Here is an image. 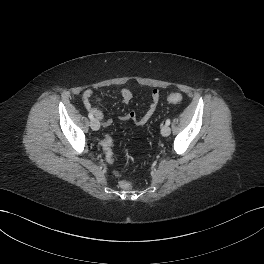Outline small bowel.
<instances>
[{"label": "small bowel", "instance_id": "obj_1", "mask_svg": "<svg viewBox=\"0 0 264 264\" xmlns=\"http://www.w3.org/2000/svg\"><path fill=\"white\" fill-rule=\"evenodd\" d=\"M121 98L123 102H129L133 98V92L130 89L124 88L120 91ZM94 96V92L92 90H86L83 93V100H84V105L86 109L94 115L98 120L101 121L102 125L104 127H108L112 124V119L107 118L104 119V114L103 111L100 108L95 107L91 99ZM161 98V92L158 89H154L151 92V102L149 104L148 109L144 114L141 116H137L134 112H129L123 115H119L118 118L123 121H132L136 126L142 127L144 126L150 118L154 115L158 103ZM108 162H113L114 161V156H105Z\"/></svg>", "mask_w": 264, "mask_h": 264}]
</instances>
